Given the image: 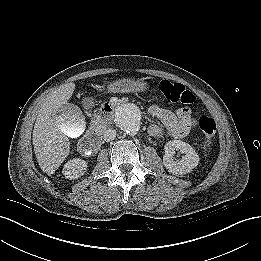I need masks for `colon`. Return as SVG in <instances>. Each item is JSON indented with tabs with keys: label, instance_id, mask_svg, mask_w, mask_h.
Segmentation results:
<instances>
[{
	"label": "colon",
	"instance_id": "obj_1",
	"mask_svg": "<svg viewBox=\"0 0 261 261\" xmlns=\"http://www.w3.org/2000/svg\"><path fill=\"white\" fill-rule=\"evenodd\" d=\"M157 92L167 101L172 103L192 104L195 101L194 94L186 89L182 84L162 80L157 86ZM110 106L105 104L103 110H107ZM198 125L203 134V145L205 149L211 147L216 135V123L208 116H202L198 120Z\"/></svg>",
	"mask_w": 261,
	"mask_h": 261
}]
</instances>
